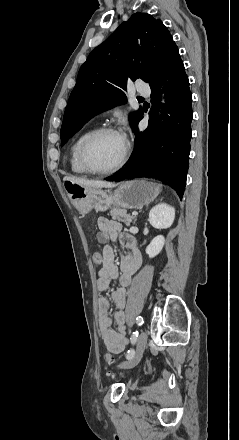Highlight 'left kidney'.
Segmentation results:
<instances>
[{
    "label": "left kidney",
    "mask_w": 239,
    "mask_h": 440,
    "mask_svg": "<svg viewBox=\"0 0 239 440\" xmlns=\"http://www.w3.org/2000/svg\"><path fill=\"white\" fill-rule=\"evenodd\" d=\"M175 210L172 206L168 204H157L149 214V222L153 228L157 230H165V228H170L174 222ZM165 244L164 236H156L147 246L145 252L148 254L149 258H155L160 254L163 246Z\"/></svg>",
    "instance_id": "left-kidney-1"
}]
</instances>
